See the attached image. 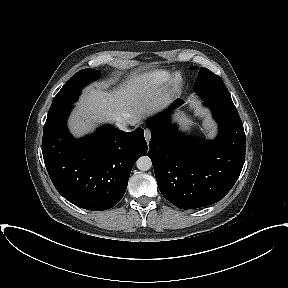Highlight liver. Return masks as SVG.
I'll return each mask as SVG.
<instances>
[{"instance_id":"6515ba94","label":"liver","mask_w":288,"mask_h":288,"mask_svg":"<svg viewBox=\"0 0 288 288\" xmlns=\"http://www.w3.org/2000/svg\"><path fill=\"white\" fill-rule=\"evenodd\" d=\"M156 80L157 73L146 72L110 91L101 86L87 88L69 121L71 132L83 136L100 122L139 124L144 116L159 111L166 103Z\"/></svg>"}]
</instances>
